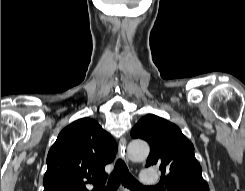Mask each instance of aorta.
I'll list each match as a JSON object with an SVG mask.
<instances>
[{"instance_id": "aorta-1", "label": "aorta", "mask_w": 245, "mask_h": 191, "mask_svg": "<svg viewBox=\"0 0 245 191\" xmlns=\"http://www.w3.org/2000/svg\"><path fill=\"white\" fill-rule=\"evenodd\" d=\"M149 151L148 144L142 140H133L127 147L128 156L133 161L145 160L149 155Z\"/></svg>"}]
</instances>
